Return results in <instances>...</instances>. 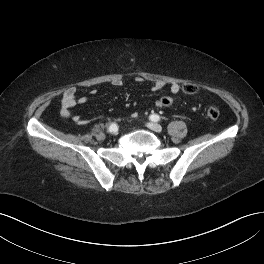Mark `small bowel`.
Here are the masks:
<instances>
[{
    "instance_id": "1",
    "label": "small bowel",
    "mask_w": 264,
    "mask_h": 264,
    "mask_svg": "<svg viewBox=\"0 0 264 264\" xmlns=\"http://www.w3.org/2000/svg\"><path fill=\"white\" fill-rule=\"evenodd\" d=\"M137 82L143 81L141 77L136 78ZM112 85L114 87H121L123 85V82L121 79H115L112 81ZM166 83L162 80H156L152 84V91H159L165 87ZM180 90V87L178 84L173 83L170 85V91L173 94H177ZM92 93H95V90L92 91ZM87 99L84 96H79L77 89L74 87H71L67 89L62 96V101H61V110L60 113L64 118H69L71 119L74 123L76 124H85L88 121L83 119L82 117L78 115H73L72 114V109L77 105V104H84L86 103ZM156 105L160 107L159 102H156Z\"/></svg>"
}]
</instances>
